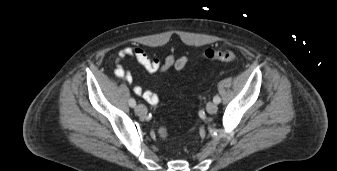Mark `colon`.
Returning <instances> with one entry per match:
<instances>
[{"mask_svg":"<svg viewBox=\"0 0 337 171\" xmlns=\"http://www.w3.org/2000/svg\"><path fill=\"white\" fill-rule=\"evenodd\" d=\"M204 57L209 61L232 62L236 59V54L230 49H208L205 51ZM159 135L162 139L167 138V130L165 127L159 129Z\"/></svg>","mask_w":337,"mask_h":171,"instance_id":"1","label":"colon"}]
</instances>
